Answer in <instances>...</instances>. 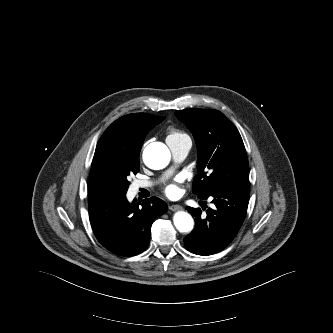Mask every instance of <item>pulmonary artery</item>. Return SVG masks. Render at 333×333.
I'll list each match as a JSON object with an SVG mask.
<instances>
[{"mask_svg": "<svg viewBox=\"0 0 333 333\" xmlns=\"http://www.w3.org/2000/svg\"><path fill=\"white\" fill-rule=\"evenodd\" d=\"M174 160L176 162H181L183 161L191 148V143L190 142H167ZM155 184L153 181H148V180H139L136 182L135 186L136 188H149L152 187Z\"/></svg>", "mask_w": 333, "mask_h": 333, "instance_id": "e3ab8cb5", "label": "pulmonary artery"}]
</instances>
